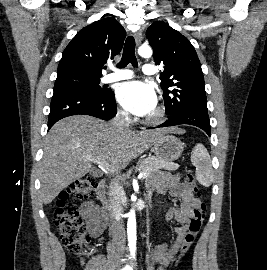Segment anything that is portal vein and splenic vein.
<instances>
[{"label": "portal vein and splenic vein", "mask_w": 267, "mask_h": 270, "mask_svg": "<svg viewBox=\"0 0 267 270\" xmlns=\"http://www.w3.org/2000/svg\"><path fill=\"white\" fill-rule=\"evenodd\" d=\"M88 160L92 163H96V164H99L101 167L105 168V169H108V164L106 162H102L100 161L99 159L97 158H92V157H89ZM112 171H115V170H112ZM147 177V174L146 173H143L141 172L139 175H138V178L141 179V178H146Z\"/></svg>", "instance_id": "18ae733b"}]
</instances>
